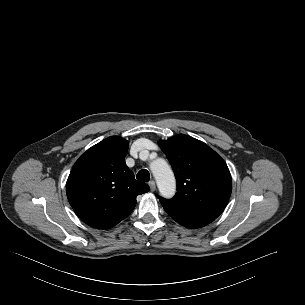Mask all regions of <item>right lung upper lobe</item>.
Returning <instances> with one entry per match:
<instances>
[{"label": "right lung upper lobe", "instance_id": "obj_1", "mask_svg": "<svg viewBox=\"0 0 305 305\" xmlns=\"http://www.w3.org/2000/svg\"><path fill=\"white\" fill-rule=\"evenodd\" d=\"M128 141L111 136L88 149L66 184L68 201L86 224L108 229L131 214L136 197L150 190L125 163Z\"/></svg>", "mask_w": 305, "mask_h": 305}]
</instances>
